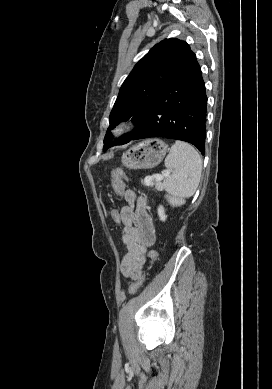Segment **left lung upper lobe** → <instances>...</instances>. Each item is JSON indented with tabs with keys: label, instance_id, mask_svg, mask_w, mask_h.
<instances>
[{
	"label": "left lung upper lobe",
	"instance_id": "left-lung-upper-lobe-1",
	"mask_svg": "<svg viewBox=\"0 0 272 389\" xmlns=\"http://www.w3.org/2000/svg\"><path fill=\"white\" fill-rule=\"evenodd\" d=\"M185 41L165 39L156 44L135 65L122 84L110 113V126L104 138L103 151L114 144H125L133 136L148 114L158 94L195 58ZM132 117L133 131L112 143L110 130L120 121Z\"/></svg>",
	"mask_w": 272,
	"mask_h": 389
}]
</instances>
